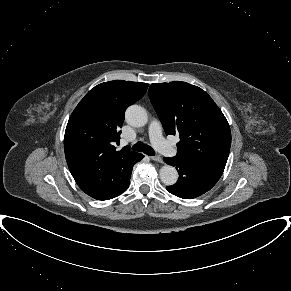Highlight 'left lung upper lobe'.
<instances>
[{"label": "left lung upper lobe", "mask_w": 291, "mask_h": 291, "mask_svg": "<svg viewBox=\"0 0 291 291\" xmlns=\"http://www.w3.org/2000/svg\"><path fill=\"white\" fill-rule=\"evenodd\" d=\"M148 93L166 134L180 137L176 157L226 164L230 127L204 90L186 82H170L154 83Z\"/></svg>", "instance_id": "5c2ea615"}]
</instances>
